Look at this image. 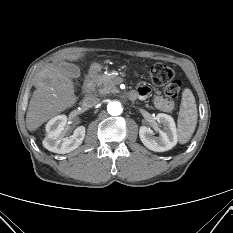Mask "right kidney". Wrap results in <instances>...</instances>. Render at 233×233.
Segmentation results:
<instances>
[{"label":"right kidney","mask_w":233,"mask_h":233,"mask_svg":"<svg viewBox=\"0 0 233 233\" xmlns=\"http://www.w3.org/2000/svg\"><path fill=\"white\" fill-rule=\"evenodd\" d=\"M68 118L66 115H58L48 121L45 127L46 136L43 146L54 153L66 154L81 145L85 137L84 126L77 127L71 137H63L62 133L66 129Z\"/></svg>","instance_id":"right-kidney-1"}]
</instances>
